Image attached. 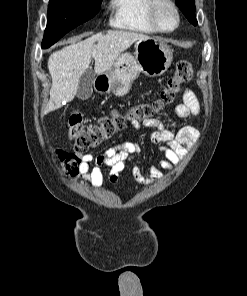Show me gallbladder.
Here are the masks:
<instances>
[{
  "label": "gallbladder",
  "mask_w": 247,
  "mask_h": 296,
  "mask_svg": "<svg viewBox=\"0 0 247 296\" xmlns=\"http://www.w3.org/2000/svg\"><path fill=\"white\" fill-rule=\"evenodd\" d=\"M94 73L92 70L87 69L79 80V87L77 97L81 100H87L91 97L93 92Z\"/></svg>",
  "instance_id": "bac80fb5"
}]
</instances>
